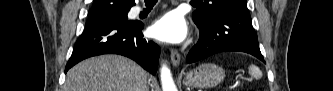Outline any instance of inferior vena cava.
<instances>
[{
    "label": "inferior vena cava",
    "instance_id": "1",
    "mask_svg": "<svg viewBox=\"0 0 333 91\" xmlns=\"http://www.w3.org/2000/svg\"><path fill=\"white\" fill-rule=\"evenodd\" d=\"M144 91H148V87L147 86L144 88Z\"/></svg>",
    "mask_w": 333,
    "mask_h": 91
}]
</instances>
